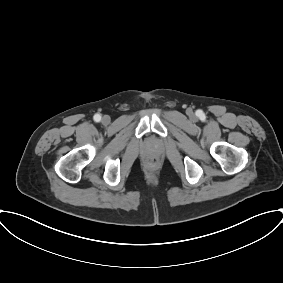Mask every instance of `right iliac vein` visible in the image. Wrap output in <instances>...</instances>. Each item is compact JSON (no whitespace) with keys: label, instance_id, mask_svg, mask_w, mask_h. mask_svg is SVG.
Masks as SVG:
<instances>
[{"label":"right iliac vein","instance_id":"63e3f726","mask_svg":"<svg viewBox=\"0 0 283 283\" xmlns=\"http://www.w3.org/2000/svg\"><path fill=\"white\" fill-rule=\"evenodd\" d=\"M102 123L103 124H109L110 123V117L108 115H104L102 117Z\"/></svg>","mask_w":283,"mask_h":283}]
</instances>
